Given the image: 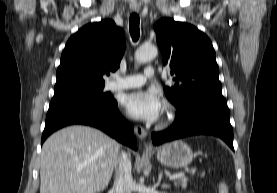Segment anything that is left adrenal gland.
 Wrapping results in <instances>:
<instances>
[{
  "label": "left adrenal gland",
  "instance_id": "a2214340",
  "mask_svg": "<svg viewBox=\"0 0 277 193\" xmlns=\"http://www.w3.org/2000/svg\"><path fill=\"white\" fill-rule=\"evenodd\" d=\"M162 175H163L162 172H160L159 177H158V182H157L158 185L161 184ZM169 187H170V185H168V184H163L162 185V188H169Z\"/></svg>",
  "mask_w": 277,
  "mask_h": 193
}]
</instances>
